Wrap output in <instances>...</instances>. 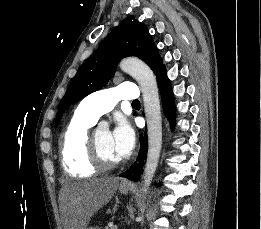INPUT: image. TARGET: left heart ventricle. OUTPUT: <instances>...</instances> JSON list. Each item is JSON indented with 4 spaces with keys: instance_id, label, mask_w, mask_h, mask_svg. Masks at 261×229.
Masks as SVG:
<instances>
[{
    "instance_id": "obj_1",
    "label": "left heart ventricle",
    "mask_w": 261,
    "mask_h": 229,
    "mask_svg": "<svg viewBox=\"0 0 261 229\" xmlns=\"http://www.w3.org/2000/svg\"><path fill=\"white\" fill-rule=\"evenodd\" d=\"M97 137H98L100 148L104 156L111 161L119 160V158L117 157V155L113 150L111 133L109 131H103L100 132L97 135Z\"/></svg>"
}]
</instances>
